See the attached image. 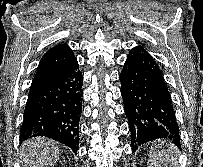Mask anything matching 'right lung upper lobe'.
<instances>
[{
	"label": "right lung upper lobe",
	"instance_id": "right-lung-upper-lobe-1",
	"mask_svg": "<svg viewBox=\"0 0 203 167\" xmlns=\"http://www.w3.org/2000/svg\"><path fill=\"white\" fill-rule=\"evenodd\" d=\"M75 56L66 44H58L47 51L39 62L31 88H37L61 73ZM30 88V89H31Z\"/></svg>",
	"mask_w": 203,
	"mask_h": 167
}]
</instances>
